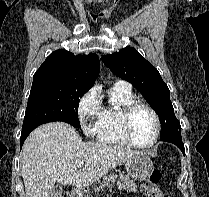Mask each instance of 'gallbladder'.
<instances>
[{
	"instance_id": "1",
	"label": "gallbladder",
	"mask_w": 209,
	"mask_h": 197,
	"mask_svg": "<svg viewBox=\"0 0 209 197\" xmlns=\"http://www.w3.org/2000/svg\"><path fill=\"white\" fill-rule=\"evenodd\" d=\"M62 191H63L62 185H56L50 191L49 197H58Z\"/></svg>"
}]
</instances>
